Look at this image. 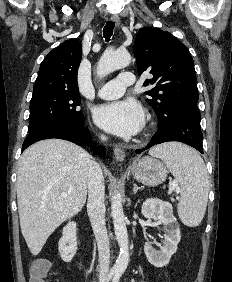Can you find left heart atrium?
Masks as SVG:
<instances>
[{"label":"left heart atrium","instance_id":"obj_1","mask_svg":"<svg viewBox=\"0 0 232 282\" xmlns=\"http://www.w3.org/2000/svg\"><path fill=\"white\" fill-rule=\"evenodd\" d=\"M98 126L121 137L138 133L144 124V112L134 100H119L98 106L94 112Z\"/></svg>","mask_w":232,"mask_h":282}]
</instances>
